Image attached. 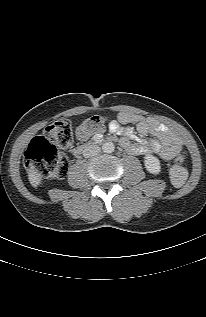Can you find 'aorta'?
Returning a JSON list of instances; mask_svg holds the SVG:
<instances>
[{"label": "aorta", "instance_id": "762f6f07", "mask_svg": "<svg viewBox=\"0 0 206 317\" xmlns=\"http://www.w3.org/2000/svg\"><path fill=\"white\" fill-rule=\"evenodd\" d=\"M102 150L105 153H112L115 150V146H114V144L112 142H105L102 145Z\"/></svg>", "mask_w": 206, "mask_h": 317}]
</instances>
